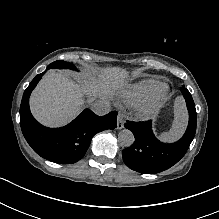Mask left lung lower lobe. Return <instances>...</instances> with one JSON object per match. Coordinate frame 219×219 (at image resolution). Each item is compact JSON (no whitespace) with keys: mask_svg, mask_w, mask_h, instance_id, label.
I'll list each match as a JSON object with an SVG mask.
<instances>
[{"mask_svg":"<svg viewBox=\"0 0 219 219\" xmlns=\"http://www.w3.org/2000/svg\"><path fill=\"white\" fill-rule=\"evenodd\" d=\"M188 112V128L183 137L175 143L159 141L152 131L151 121H127L125 128L131 130L135 142L122 151L123 161L134 171L144 174L159 173L176 164L187 152L196 132V109L191 94L181 88Z\"/></svg>","mask_w":219,"mask_h":219,"instance_id":"left-lung-lower-lobe-1","label":"left lung lower lobe"}]
</instances>
